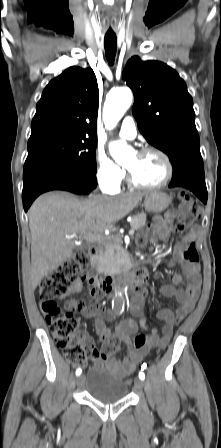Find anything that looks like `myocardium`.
Wrapping results in <instances>:
<instances>
[{
    "mask_svg": "<svg viewBox=\"0 0 221 448\" xmlns=\"http://www.w3.org/2000/svg\"><path fill=\"white\" fill-rule=\"evenodd\" d=\"M137 154L139 156H144V155H148V154H156L158 156H160L166 167H167V175L165 177V179L160 182L159 184L156 185H146V184H142L140 183L134 176L133 174L127 169V178H128V182L130 184V186L137 188V189H159L162 188L164 186H166L173 178L174 176V164L171 160V158L168 156V154L166 152H164L163 150L159 149V148H155V147H144L141 150H139L137 152Z\"/></svg>",
    "mask_w": 221,
    "mask_h": 448,
    "instance_id": "myocardium-1",
    "label": "myocardium"
}]
</instances>
